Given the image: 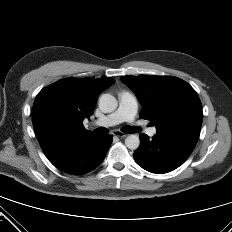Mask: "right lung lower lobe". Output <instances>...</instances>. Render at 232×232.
<instances>
[{
  "instance_id": "98d812e1",
  "label": "right lung lower lobe",
  "mask_w": 232,
  "mask_h": 232,
  "mask_svg": "<svg viewBox=\"0 0 232 232\" xmlns=\"http://www.w3.org/2000/svg\"><path fill=\"white\" fill-rule=\"evenodd\" d=\"M111 142V135H92L84 140L58 145L44 154L59 170L81 175L100 165Z\"/></svg>"
}]
</instances>
